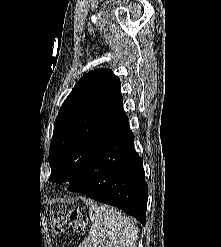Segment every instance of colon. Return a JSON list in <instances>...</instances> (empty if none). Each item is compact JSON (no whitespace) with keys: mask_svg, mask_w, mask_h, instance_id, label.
Returning a JSON list of instances; mask_svg holds the SVG:
<instances>
[{"mask_svg":"<svg viewBox=\"0 0 221 247\" xmlns=\"http://www.w3.org/2000/svg\"><path fill=\"white\" fill-rule=\"evenodd\" d=\"M84 221L80 218L78 212L74 211L70 214L59 213L53 222L54 229L57 233L62 232L68 227L81 228Z\"/></svg>","mask_w":221,"mask_h":247,"instance_id":"5ec220e1","label":"colon"}]
</instances>
